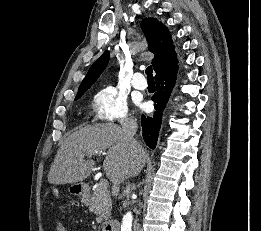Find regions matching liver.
Here are the masks:
<instances>
[{
  "label": "liver",
  "instance_id": "obj_1",
  "mask_svg": "<svg viewBox=\"0 0 261 231\" xmlns=\"http://www.w3.org/2000/svg\"><path fill=\"white\" fill-rule=\"evenodd\" d=\"M108 149L103 168L110 181L117 185L126 178L136 176L142 170L146 153L141 147L134 158L123 139L122 128L115 124L86 126L67 137L60 146L48 173L50 184H75L85 180L95 162L91 157L95 151ZM88 153H92L91 156Z\"/></svg>",
  "mask_w": 261,
  "mask_h": 231
}]
</instances>
